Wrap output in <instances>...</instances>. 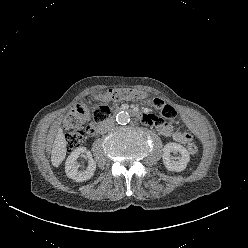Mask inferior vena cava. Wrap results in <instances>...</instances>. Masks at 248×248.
Returning <instances> with one entry per match:
<instances>
[{"label": "inferior vena cava", "mask_w": 248, "mask_h": 248, "mask_svg": "<svg viewBox=\"0 0 248 248\" xmlns=\"http://www.w3.org/2000/svg\"><path fill=\"white\" fill-rule=\"evenodd\" d=\"M114 119L108 118L99 124V130L101 133H105L114 126Z\"/></svg>", "instance_id": "inferior-vena-cava-1"}]
</instances>
